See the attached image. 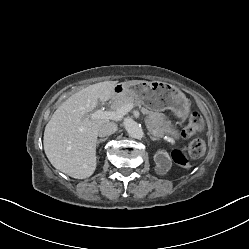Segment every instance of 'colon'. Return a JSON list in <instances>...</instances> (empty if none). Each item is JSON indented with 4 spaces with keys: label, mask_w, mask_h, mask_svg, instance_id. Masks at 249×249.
Instances as JSON below:
<instances>
[{
    "label": "colon",
    "mask_w": 249,
    "mask_h": 249,
    "mask_svg": "<svg viewBox=\"0 0 249 249\" xmlns=\"http://www.w3.org/2000/svg\"><path fill=\"white\" fill-rule=\"evenodd\" d=\"M203 127L204 120L202 116L197 112H193L190 115L188 125L182 131V136L184 138H190L201 131ZM205 149V142L202 138L194 139L188 146V156L193 159L199 158L205 153ZM172 158L177 164L182 166H186L189 163L188 157L180 150H174L172 152Z\"/></svg>",
    "instance_id": "colon-1"
}]
</instances>
